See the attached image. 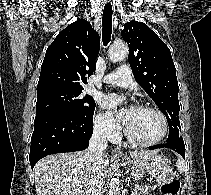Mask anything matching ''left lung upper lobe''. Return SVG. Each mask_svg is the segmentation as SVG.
Here are the masks:
<instances>
[{"label":"left lung upper lobe","instance_id":"1","mask_svg":"<svg viewBox=\"0 0 211 195\" xmlns=\"http://www.w3.org/2000/svg\"><path fill=\"white\" fill-rule=\"evenodd\" d=\"M121 34L129 46V64L137 83L167 118L168 140L181 137L179 87L169 48L143 22L125 23Z\"/></svg>","mask_w":211,"mask_h":195}]
</instances>
